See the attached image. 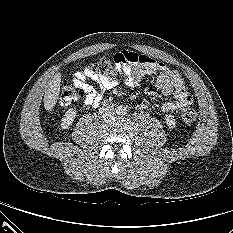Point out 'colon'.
<instances>
[{"instance_id": "obj_1", "label": "colon", "mask_w": 233, "mask_h": 233, "mask_svg": "<svg viewBox=\"0 0 233 233\" xmlns=\"http://www.w3.org/2000/svg\"><path fill=\"white\" fill-rule=\"evenodd\" d=\"M93 70L102 75H106L113 79L120 80L124 76L122 64L115 57L111 60L106 57L100 58L94 65ZM82 94V91L77 87H74L71 83H64L61 87L59 104L67 106L77 100ZM181 120L190 124L197 118V112L192 106H185L181 110Z\"/></svg>"}]
</instances>
